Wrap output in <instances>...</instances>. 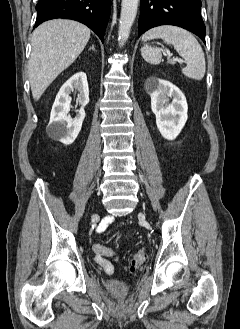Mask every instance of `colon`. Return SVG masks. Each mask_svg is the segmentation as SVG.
I'll use <instances>...</instances> for the list:
<instances>
[{
  "label": "colon",
  "instance_id": "colon-1",
  "mask_svg": "<svg viewBox=\"0 0 240 329\" xmlns=\"http://www.w3.org/2000/svg\"><path fill=\"white\" fill-rule=\"evenodd\" d=\"M146 260V253L144 251H139L129 257L127 267L130 271H134L139 266H141Z\"/></svg>",
  "mask_w": 240,
  "mask_h": 329
}]
</instances>
